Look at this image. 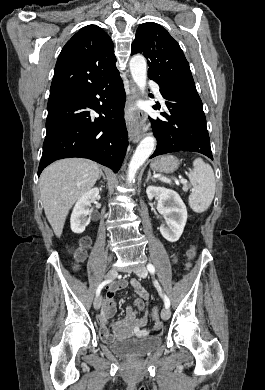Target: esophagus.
I'll return each mask as SVG.
<instances>
[{
  "label": "esophagus",
  "instance_id": "34e87169",
  "mask_svg": "<svg viewBox=\"0 0 265 390\" xmlns=\"http://www.w3.org/2000/svg\"><path fill=\"white\" fill-rule=\"evenodd\" d=\"M139 98V93L136 85L131 81L130 83V95L128 97V104H132ZM137 116L140 119L139 123L132 124L129 129V136L131 137L134 143L138 142L144 135L143 132V123L145 121V115L141 112H137Z\"/></svg>",
  "mask_w": 265,
  "mask_h": 390
}]
</instances>
